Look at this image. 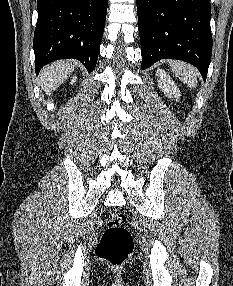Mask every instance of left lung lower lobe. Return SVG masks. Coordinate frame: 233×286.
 <instances>
[{
	"instance_id": "obj_1",
	"label": "left lung lower lobe",
	"mask_w": 233,
	"mask_h": 286,
	"mask_svg": "<svg viewBox=\"0 0 233 286\" xmlns=\"http://www.w3.org/2000/svg\"><path fill=\"white\" fill-rule=\"evenodd\" d=\"M142 69L160 59L196 66L204 81L212 54L210 0H137Z\"/></svg>"
}]
</instances>
